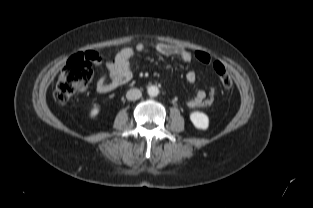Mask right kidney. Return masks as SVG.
<instances>
[{
    "instance_id": "obj_1",
    "label": "right kidney",
    "mask_w": 313,
    "mask_h": 208,
    "mask_svg": "<svg viewBox=\"0 0 313 208\" xmlns=\"http://www.w3.org/2000/svg\"><path fill=\"white\" fill-rule=\"evenodd\" d=\"M98 113H99V109H98V108H93V109L91 110V112H90V116H91V117H95V116L98 115Z\"/></svg>"
}]
</instances>
